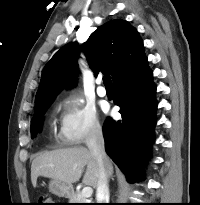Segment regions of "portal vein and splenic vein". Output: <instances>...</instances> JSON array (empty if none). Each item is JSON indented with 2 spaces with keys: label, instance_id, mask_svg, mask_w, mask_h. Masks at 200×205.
Returning a JSON list of instances; mask_svg holds the SVG:
<instances>
[{
  "label": "portal vein and splenic vein",
  "instance_id": "18ae733b",
  "mask_svg": "<svg viewBox=\"0 0 200 205\" xmlns=\"http://www.w3.org/2000/svg\"><path fill=\"white\" fill-rule=\"evenodd\" d=\"M93 189L91 187H84L81 191V194L85 198H90L92 196Z\"/></svg>",
  "mask_w": 200,
  "mask_h": 205
}]
</instances>
